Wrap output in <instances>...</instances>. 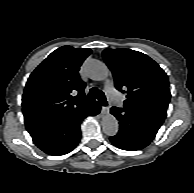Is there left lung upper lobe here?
I'll use <instances>...</instances> for the list:
<instances>
[{"label":"left lung upper lobe","mask_w":194,"mask_h":193,"mask_svg":"<svg viewBox=\"0 0 194 193\" xmlns=\"http://www.w3.org/2000/svg\"><path fill=\"white\" fill-rule=\"evenodd\" d=\"M103 58L116 88L127 93L124 109L163 123L171 97L163 69L147 55L130 49H105Z\"/></svg>","instance_id":"obj_1"}]
</instances>
